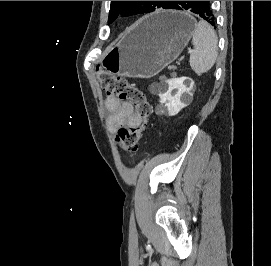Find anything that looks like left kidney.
<instances>
[{"mask_svg":"<svg viewBox=\"0 0 271 266\" xmlns=\"http://www.w3.org/2000/svg\"><path fill=\"white\" fill-rule=\"evenodd\" d=\"M187 78H173L168 81V90L160 95V103L165 104L170 116L178 114L188 104L182 101L184 96L190 94L191 82L186 81ZM186 81V83H185ZM173 90H176L175 94H171Z\"/></svg>","mask_w":271,"mask_h":266,"instance_id":"1","label":"left kidney"}]
</instances>
